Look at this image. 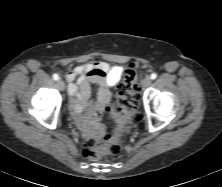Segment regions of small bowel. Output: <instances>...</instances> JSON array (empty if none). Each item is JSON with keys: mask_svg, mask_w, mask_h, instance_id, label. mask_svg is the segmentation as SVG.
<instances>
[{"mask_svg": "<svg viewBox=\"0 0 222 187\" xmlns=\"http://www.w3.org/2000/svg\"><path fill=\"white\" fill-rule=\"evenodd\" d=\"M123 76V67L107 62H91L72 68L67 74L68 92L74 116L84 122V112L91 109L93 116L104 111L111 98V88ZM97 86V99L91 104V86Z\"/></svg>", "mask_w": 222, "mask_h": 187, "instance_id": "obj_1", "label": "small bowel"}]
</instances>
